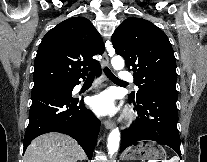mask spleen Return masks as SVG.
<instances>
[{"label":"spleen","instance_id":"3e777b00","mask_svg":"<svg viewBox=\"0 0 207 162\" xmlns=\"http://www.w3.org/2000/svg\"><path fill=\"white\" fill-rule=\"evenodd\" d=\"M179 158L177 156L172 157L170 160H165L164 162H178Z\"/></svg>","mask_w":207,"mask_h":162}]
</instances>
